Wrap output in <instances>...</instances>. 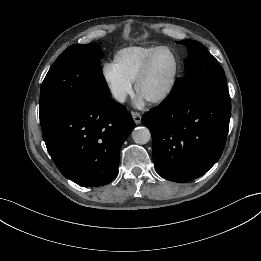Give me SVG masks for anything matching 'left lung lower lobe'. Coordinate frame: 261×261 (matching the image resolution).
Listing matches in <instances>:
<instances>
[{"label": "left lung lower lobe", "mask_w": 261, "mask_h": 261, "mask_svg": "<svg viewBox=\"0 0 261 261\" xmlns=\"http://www.w3.org/2000/svg\"><path fill=\"white\" fill-rule=\"evenodd\" d=\"M231 101L226 83L204 87L184 101L170 95L145 113L157 172L184 183L206 173L220 158L229 130Z\"/></svg>", "instance_id": "0a47b994"}]
</instances>
